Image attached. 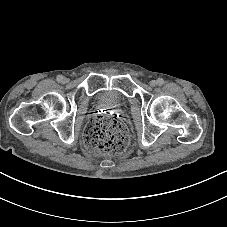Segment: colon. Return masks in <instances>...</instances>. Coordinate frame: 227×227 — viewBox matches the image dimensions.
I'll return each mask as SVG.
<instances>
[{
    "instance_id": "5ec220e1",
    "label": "colon",
    "mask_w": 227,
    "mask_h": 227,
    "mask_svg": "<svg viewBox=\"0 0 227 227\" xmlns=\"http://www.w3.org/2000/svg\"><path fill=\"white\" fill-rule=\"evenodd\" d=\"M128 131L118 119L98 115L90 120L85 130V144L89 151L99 155H118L128 145Z\"/></svg>"
}]
</instances>
